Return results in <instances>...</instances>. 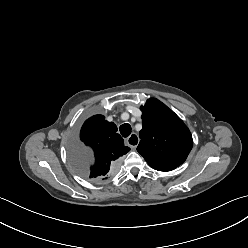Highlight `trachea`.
Here are the masks:
<instances>
[{"mask_svg":"<svg viewBox=\"0 0 248 248\" xmlns=\"http://www.w3.org/2000/svg\"><path fill=\"white\" fill-rule=\"evenodd\" d=\"M119 130L123 137H128L131 134V126L128 123L122 124Z\"/></svg>","mask_w":248,"mask_h":248,"instance_id":"3493384b","label":"trachea"}]
</instances>
